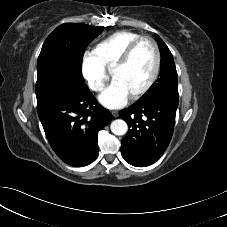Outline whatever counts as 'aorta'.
<instances>
[{
  "label": "aorta",
  "instance_id": "aorta-1",
  "mask_svg": "<svg viewBox=\"0 0 227 227\" xmlns=\"http://www.w3.org/2000/svg\"><path fill=\"white\" fill-rule=\"evenodd\" d=\"M110 129L113 134L121 136L127 133L128 126L124 120L117 119L111 123Z\"/></svg>",
  "mask_w": 227,
  "mask_h": 227
}]
</instances>
